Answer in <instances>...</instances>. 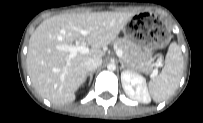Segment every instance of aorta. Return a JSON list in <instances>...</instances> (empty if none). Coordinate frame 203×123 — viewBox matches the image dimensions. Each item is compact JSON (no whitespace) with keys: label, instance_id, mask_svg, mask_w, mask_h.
<instances>
[{"label":"aorta","instance_id":"762f6f07","mask_svg":"<svg viewBox=\"0 0 203 123\" xmlns=\"http://www.w3.org/2000/svg\"><path fill=\"white\" fill-rule=\"evenodd\" d=\"M107 68L112 71V70H115V69H116V66H115L114 63H111V64H109V65L107 66Z\"/></svg>","mask_w":203,"mask_h":123}]
</instances>
